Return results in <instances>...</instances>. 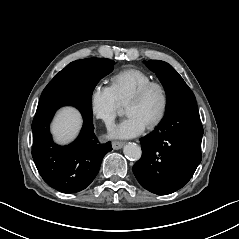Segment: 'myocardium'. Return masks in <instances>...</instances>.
<instances>
[{"instance_id":"myocardium-1","label":"myocardium","mask_w":239,"mask_h":239,"mask_svg":"<svg viewBox=\"0 0 239 239\" xmlns=\"http://www.w3.org/2000/svg\"><path fill=\"white\" fill-rule=\"evenodd\" d=\"M153 88H157L161 91L163 103L159 115L147 126L148 129H155L158 127L168 114L170 107V96L166 85L160 81L152 80L138 88L126 103L127 106L130 103L142 100Z\"/></svg>"}]
</instances>
